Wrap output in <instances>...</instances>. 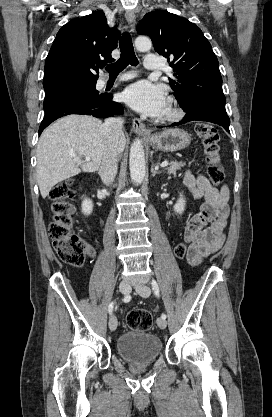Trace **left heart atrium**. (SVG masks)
Masks as SVG:
<instances>
[{
	"instance_id": "39dd6f15",
	"label": "left heart atrium",
	"mask_w": 272,
	"mask_h": 417,
	"mask_svg": "<svg viewBox=\"0 0 272 417\" xmlns=\"http://www.w3.org/2000/svg\"><path fill=\"white\" fill-rule=\"evenodd\" d=\"M122 100L135 111L152 117L163 115L168 106L164 87L147 80L128 86L122 93Z\"/></svg>"
}]
</instances>
